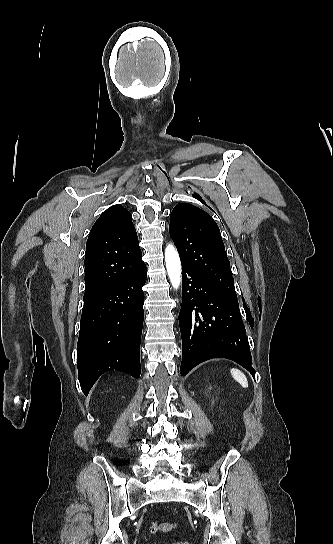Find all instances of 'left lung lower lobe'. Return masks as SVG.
Masks as SVG:
<instances>
[{
	"label": "left lung lower lobe",
	"instance_id": "1",
	"mask_svg": "<svg viewBox=\"0 0 333 544\" xmlns=\"http://www.w3.org/2000/svg\"><path fill=\"white\" fill-rule=\"evenodd\" d=\"M179 324L182 376L199 363L217 357L231 359L255 375L238 302L185 264Z\"/></svg>",
	"mask_w": 333,
	"mask_h": 544
}]
</instances>
